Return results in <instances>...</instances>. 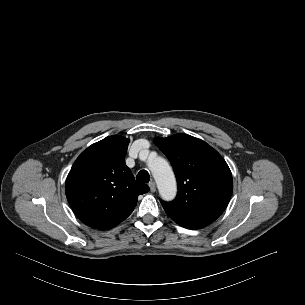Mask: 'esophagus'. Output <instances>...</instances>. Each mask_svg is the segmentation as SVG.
<instances>
[{"mask_svg": "<svg viewBox=\"0 0 305 305\" xmlns=\"http://www.w3.org/2000/svg\"><path fill=\"white\" fill-rule=\"evenodd\" d=\"M149 187H150V191H151L152 193L156 191V184H155L154 181H151V182L149 183Z\"/></svg>", "mask_w": 305, "mask_h": 305, "instance_id": "esophagus-1", "label": "esophagus"}]
</instances>
